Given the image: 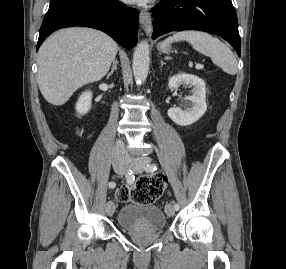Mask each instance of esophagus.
<instances>
[{
  "instance_id": "34e87169",
  "label": "esophagus",
  "mask_w": 286,
  "mask_h": 269,
  "mask_svg": "<svg viewBox=\"0 0 286 269\" xmlns=\"http://www.w3.org/2000/svg\"><path fill=\"white\" fill-rule=\"evenodd\" d=\"M139 21L146 35H152L153 26L150 12L142 10L139 15Z\"/></svg>"
}]
</instances>
